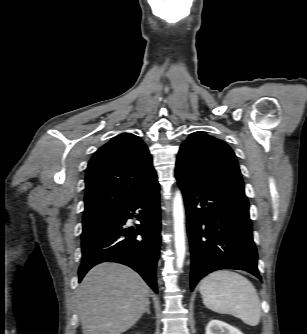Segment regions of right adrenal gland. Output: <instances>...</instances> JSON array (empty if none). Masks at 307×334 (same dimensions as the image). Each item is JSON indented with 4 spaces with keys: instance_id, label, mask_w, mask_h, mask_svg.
Instances as JSON below:
<instances>
[{
    "instance_id": "right-adrenal-gland-1",
    "label": "right adrenal gland",
    "mask_w": 307,
    "mask_h": 334,
    "mask_svg": "<svg viewBox=\"0 0 307 334\" xmlns=\"http://www.w3.org/2000/svg\"><path fill=\"white\" fill-rule=\"evenodd\" d=\"M143 313L151 314L150 312V302L148 303L147 307L145 308Z\"/></svg>"
}]
</instances>
